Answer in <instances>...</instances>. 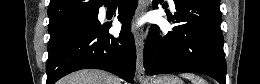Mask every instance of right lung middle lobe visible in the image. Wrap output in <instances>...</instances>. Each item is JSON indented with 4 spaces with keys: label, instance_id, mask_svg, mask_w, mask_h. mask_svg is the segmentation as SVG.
<instances>
[{
    "label": "right lung middle lobe",
    "instance_id": "right-lung-middle-lobe-1",
    "mask_svg": "<svg viewBox=\"0 0 260 84\" xmlns=\"http://www.w3.org/2000/svg\"><path fill=\"white\" fill-rule=\"evenodd\" d=\"M100 26L101 23L98 20V12H95L80 16L57 27L49 28V54L53 53L69 38L80 33L95 31Z\"/></svg>",
    "mask_w": 260,
    "mask_h": 84
}]
</instances>
